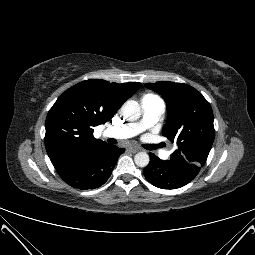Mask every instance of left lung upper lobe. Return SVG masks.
Returning <instances> with one entry per match:
<instances>
[{
    "label": "left lung upper lobe",
    "instance_id": "left-lung-upper-lobe-1",
    "mask_svg": "<svg viewBox=\"0 0 255 255\" xmlns=\"http://www.w3.org/2000/svg\"><path fill=\"white\" fill-rule=\"evenodd\" d=\"M145 86L161 94L166 102L168 117L163 135L178 145L169 161L200 169L215 135L209 102L187 84L161 81Z\"/></svg>",
    "mask_w": 255,
    "mask_h": 255
}]
</instances>
